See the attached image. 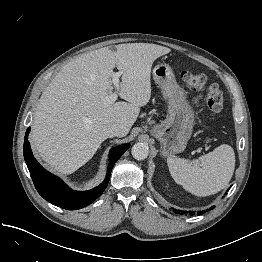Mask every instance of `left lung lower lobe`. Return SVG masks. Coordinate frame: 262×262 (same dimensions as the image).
<instances>
[{
	"instance_id": "1",
	"label": "left lung lower lobe",
	"mask_w": 262,
	"mask_h": 262,
	"mask_svg": "<svg viewBox=\"0 0 262 262\" xmlns=\"http://www.w3.org/2000/svg\"><path fill=\"white\" fill-rule=\"evenodd\" d=\"M174 210V212H181L180 210H176V209H173ZM187 213V212H186ZM201 212H199V214H200Z\"/></svg>"
}]
</instances>
